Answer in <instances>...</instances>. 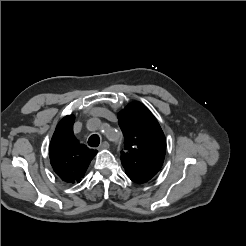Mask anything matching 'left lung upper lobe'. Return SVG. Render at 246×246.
Returning <instances> with one entry per match:
<instances>
[{"label":"left lung upper lobe","mask_w":246,"mask_h":246,"mask_svg":"<svg viewBox=\"0 0 246 246\" xmlns=\"http://www.w3.org/2000/svg\"><path fill=\"white\" fill-rule=\"evenodd\" d=\"M124 135L121 162L127 176L145 183L160 170L166 139L156 118L140 102H132L118 113Z\"/></svg>","instance_id":"5c2ea615"}]
</instances>
